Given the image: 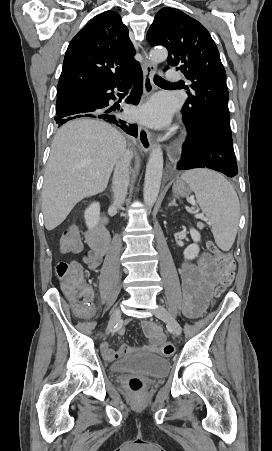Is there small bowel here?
I'll use <instances>...</instances> for the list:
<instances>
[{
  "instance_id": "small-bowel-1",
  "label": "small bowel",
  "mask_w": 272,
  "mask_h": 451,
  "mask_svg": "<svg viewBox=\"0 0 272 451\" xmlns=\"http://www.w3.org/2000/svg\"><path fill=\"white\" fill-rule=\"evenodd\" d=\"M82 250V247H81ZM84 264L90 271H95L99 268L102 262V255L97 254L94 250H90L83 255ZM215 263V257L209 253L202 252L196 263L183 261L179 267V275L182 283L183 299L182 309L188 316H198L204 308L207 300L204 284L209 271ZM143 329L149 337V343L140 347H131L125 344L118 349H111L107 344L102 346V354L107 361L116 360L126 354L134 352H154L157 351L158 346L164 341V336L161 330L152 323L144 322ZM150 329L151 332H147Z\"/></svg>"
}]
</instances>
